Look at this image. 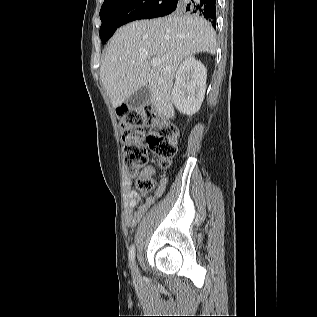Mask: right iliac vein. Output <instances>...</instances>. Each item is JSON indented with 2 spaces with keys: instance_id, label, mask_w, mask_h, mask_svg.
<instances>
[{
  "instance_id": "63e3f726",
  "label": "right iliac vein",
  "mask_w": 317,
  "mask_h": 317,
  "mask_svg": "<svg viewBox=\"0 0 317 317\" xmlns=\"http://www.w3.org/2000/svg\"><path fill=\"white\" fill-rule=\"evenodd\" d=\"M132 274L135 278L139 275L138 267L134 262L132 263Z\"/></svg>"
}]
</instances>
